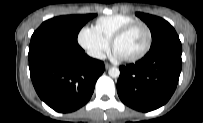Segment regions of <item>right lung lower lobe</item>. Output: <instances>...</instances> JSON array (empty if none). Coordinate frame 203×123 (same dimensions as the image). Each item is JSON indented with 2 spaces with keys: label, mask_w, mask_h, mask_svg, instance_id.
<instances>
[{
  "label": "right lung lower lobe",
  "mask_w": 203,
  "mask_h": 123,
  "mask_svg": "<svg viewBox=\"0 0 203 123\" xmlns=\"http://www.w3.org/2000/svg\"><path fill=\"white\" fill-rule=\"evenodd\" d=\"M29 69L33 86L49 107L72 112L91 98L104 63L85 54L75 43L50 38L32 39Z\"/></svg>",
  "instance_id": "obj_1"
}]
</instances>
